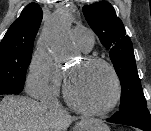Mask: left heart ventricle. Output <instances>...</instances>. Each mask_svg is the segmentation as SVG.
Wrapping results in <instances>:
<instances>
[{
  "label": "left heart ventricle",
  "mask_w": 151,
  "mask_h": 131,
  "mask_svg": "<svg viewBox=\"0 0 151 131\" xmlns=\"http://www.w3.org/2000/svg\"><path fill=\"white\" fill-rule=\"evenodd\" d=\"M69 90L85 106L101 108L113 96L114 86L109 71L102 65H86L83 60L69 70Z\"/></svg>",
  "instance_id": "obj_1"
}]
</instances>
